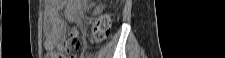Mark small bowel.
Instances as JSON below:
<instances>
[{
  "instance_id": "obj_1",
  "label": "small bowel",
  "mask_w": 225,
  "mask_h": 58,
  "mask_svg": "<svg viewBox=\"0 0 225 58\" xmlns=\"http://www.w3.org/2000/svg\"><path fill=\"white\" fill-rule=\"evenodd\" d=\"M68 4H70V2L67 1H46L44 9V31L46 39L44 45L48 52H54L63 44L66 25L60 17V12Z\"/></svg>"
}]
</instances>
